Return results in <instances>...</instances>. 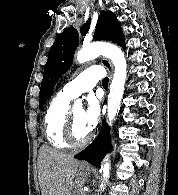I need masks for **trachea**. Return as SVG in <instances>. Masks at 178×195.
<instances>
[{"label": "trachea", "instance_id": "3493384b", "mask_svg": "<svg viewBox=\"0 0 178 195\" xmlns=\"http://www.w3.org/2000/svg\"><path fill=\"white\" fill-rule=\"evenodd\" d=\"M108 82H109L108 77H105V78L103 79V81H102V85H103L104 87H107V86H108Z\"/></svg>", "mask_w": 178, "mask_h": 195}]
</instances>
